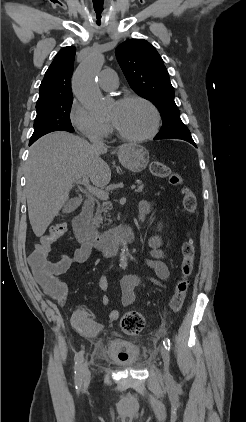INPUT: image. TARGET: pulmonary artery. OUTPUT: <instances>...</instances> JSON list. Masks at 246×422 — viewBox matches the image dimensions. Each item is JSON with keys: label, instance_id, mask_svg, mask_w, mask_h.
<instances>
[{"label": "pulmonary artery", "instance_id": "1", "mask_svg": "<svg viewBox=\"0 0 246 422\" xmlns=\"http://www.w3.org/2000/svg\"><path fill=\"white\" fill-rule=\"evenodd\" d=\"M99 86L106 91H111L117 88L118 79L116 73L112 69L103 70L98 78Z\"/></svg>", "mask_w": 246, "mask_h": 422}]
</instances>
